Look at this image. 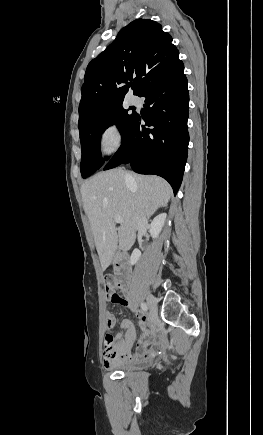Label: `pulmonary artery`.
Segmentation results:
<instances>
[{
    "mask_svg": "<svg viewBox=\"0 0 263 435\" xmlns=\"http://www.w3.org/2000/svg\"><path fill=\"white\" fill-rule=\"evenodd\" d=\"M130 102L135 105V104H138L139 99H138V97L133 96V97H131Z\"/></svg>",
    "mask_w": 263,
    "mask_h": 435,
    "instance_id": "pulmonary-artery-1",
    "label": "pulmonary artery"
}]
</instances>
